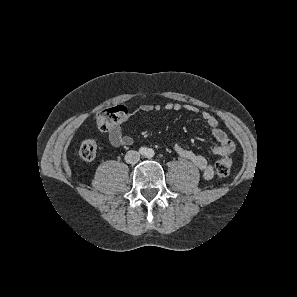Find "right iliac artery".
Wrapping results in <instances>:
<instances>
[{
	"label": "right iliac artery",
	"mask_w": 297,
	"mask_h": 297,
	"mask_svg": "<svg viewBox=\"0 0 297 297\" xmlns=\"http://www.w3.org/2000/svg\"><path fill=\"white\" fill-rule=\"evenodd\" d=\"M140 153L141 154H145L146 153V149L145 148H140Z\"/></svg>",
	"instance_id": "right-iliac-artery-1"
}]
</instances>
